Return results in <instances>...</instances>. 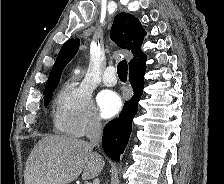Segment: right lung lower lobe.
<instances>
[{
	"mask_svg": "<svg viewBox=\"0 0 224 184\" xmlns=\"http://www.w3.org/2000/svg\"><path fill=\"white\" fill-rule=\"evenodd\" d=\"M145 69L146 66L129 71V81L134 95L126 102L119 118L110 121L103 130V150L107 156L117 162L127 146L132 131V120L137 113L138 102L143 94Z\"/></svg>",
	"mask_w": 224,
	"mask_h": 184,
	"instance_id": "98d812e1",
	"label": "right lung lower lobe"
}]
</instances>
